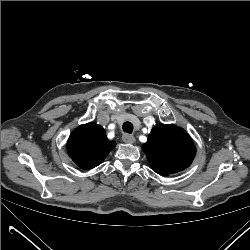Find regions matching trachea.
Here are the masks:
<instances>
[{"instance_id":"3493384b","label":"trachea","mask_w":250,"mask_h":250,"mask_svg":"<svg viewBox=\"0 0 250 250\" xmlns=\"http://www.w3.org/2000/svg\"><path fill=\"white\" fill-rule=\"evenodd\" d=\"M125 133L131 134L133 132V124L131 122H125L122 126Z\"/></svg>"}]
</instances>
